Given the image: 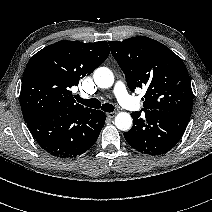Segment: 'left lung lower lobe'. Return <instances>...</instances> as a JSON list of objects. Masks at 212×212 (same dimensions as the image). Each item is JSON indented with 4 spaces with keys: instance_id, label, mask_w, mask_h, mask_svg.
I'll list each match as a JSON object with an SVG mask.
<instances>
[{
    "instance_id": "1",
    "label": "left lung lower lobe",
    "mask_w": 212,
    "mask_h": 212,
    "mask_svg": "<svg viewBox=\"0 0 212 212\" xmlns=\"http://www.w3.org/2000/svg\"><path fill=\"white\" fill-rule=\"evenodd\" d=\"M133 112V126L124 133L131 147L148 155L170 151L181 139L190 119L189 114L157 109Z\"/></svg>"
}]
</instances>
